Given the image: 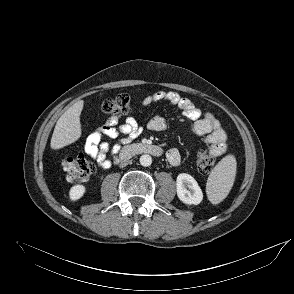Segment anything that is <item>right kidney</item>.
I'll return each mask as SVG.
<instances>
[{
    "label": "right kidney",
    "instance_id": "obj_1",
    "mask_svg": "<svg viewBox=\"0 0 294 294\" xmlns=\"http://www.w3.org/2000/svg\"><path fill=\"white\" fill-rule=\"evenodd\" d=\"M85 192V186L80 184L74 185L71 187L69 191V198L71 201H77L84 195Z\"/></svg>",
    "mask_w": 294,
    "mask_h": 294
}]
</instances>
